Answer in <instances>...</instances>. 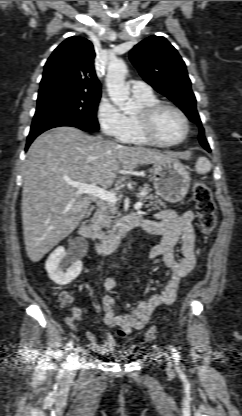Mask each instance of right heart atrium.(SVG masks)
<instances>
[{"instance_id":"d8ad5b80","label":"right heart atrium","mask_w":242,"mask_h":416,"mask_svg":"<svg viewBox=\"0 0 242 416\" xmlns=\"http://www.w3.org/2000/svg\"><path fill=\"white\" fill-rule=\"evenodd\" d=\"M96 117L104 134L118 141L126 138L129 131L128 117L108 98L100 100Z\"/></svg>"}]
</instances>
